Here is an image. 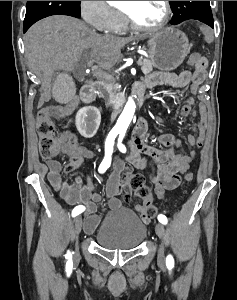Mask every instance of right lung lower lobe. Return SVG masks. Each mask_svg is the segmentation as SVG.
<instances>
[{
  "mask_svg": "<svg viewBox=\"0 0 237 300\" xmlns=\"http://www.w3.org/2000/svg\"><path fill=\"white\" fill-rule=\"evenodd\" d=\"M32 24H24L23 26V31L24 33L28 30V28L31 26Z\"/></svg>",
  "mask_w": 237,
  "mask_h": 300,
  "instance_id": "1",
  "label": "right lung lower lobe"
}]
</instances>
